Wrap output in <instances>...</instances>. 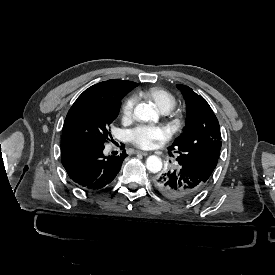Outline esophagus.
I'll return each instance as SVG.
<instances>
[{"label":"esophagus","mask_w":275,"mask_h":275,"mask_svg":"<svg viewBox=\"0 0 275 275\" xmlns=\"http://www.w3.org/2000/svg\"><path fill=\"white\" fill-rule=\"evenodd\" d=\"M136 153H137V154H141V155H143V156H147V155L149 154L148 152L142 151V150H137Z\"/></svg>","instance_id":"34e87169"}]
</instances>
